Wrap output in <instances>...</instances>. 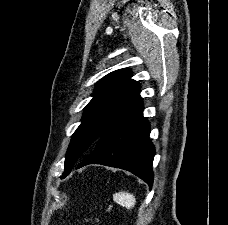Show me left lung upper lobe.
Segmentation results:
<instances>
[{"label":"left lung upper lobe","instance_id":"5c2ea615","mask_svg":"<svg viewBox=\"0 0 228 225\" xmlns=\"http://www.w3.org/2000/svg\"><path fill=\"white\" fill-rule=\"evenodd\" d=\"M129 69L109 73L97 82L92 100L84 108L82 123L74 132L61 179L90 154L101 135L142 102L140 86Z\"/></svg>","mask_w":228,"mask_h":225}]
</instances>
